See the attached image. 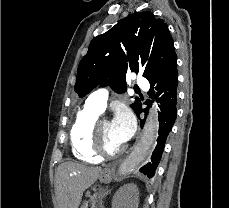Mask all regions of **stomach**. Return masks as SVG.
Segmentation results:
<instances>
[{
    "label": "stomach",
    "instance_id": "0dacf381",
    "mask_svg": "<svg viewBox=\"0 0 229 208\" xmlns=\"http://www.w3.org/2000/svg\"><path fill=\"white\" fill-rule=\"evenodd\" d=\"M114 176V170H111V168H105V170L99 174L98 180H100L101 184H110Z\"/></svg>",
    "mask_w": 229,
    "mask_h": 208
}]
</instances>
